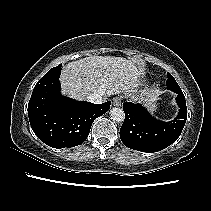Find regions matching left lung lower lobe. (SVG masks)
I'll return each instance as SVG.
<instances>
[{"mask_svg": "<svg viewBox=\"0 0 211 211\" xmlns=\"http://www.w3.org/2000/svg\"><path fill=\"white\" fill-rule=\"evenodd\" d=\"M173 92L177 94L179 113L169 122L154 118L140 104L123 103L125 120L120 128V138L125 146L153 153L165 149L178 139L187 119V107L182 90L178 88Z\"/></svg>", "mask_w": 211, "mask_h": 211, "instance_id": "left-lung-lower-lobe-1", "label": "left lung lower lobe"}]
</instances>
